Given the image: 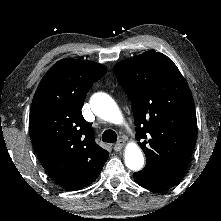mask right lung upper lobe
<instances>
[{
  "label": "right lung upper lobe",
  "instance_id": "1",
  "mask_svg": "<svg viewBox=\"0 0 221 221\" xmlns=\"http://www.w3.org/2000/svg\"><path fill=\"white\" fill-rule=\"evenodd\" d=\"M106 72L105 66L91 61L62 59L45 74L34 95L32 145L48 175L66 189L91 184L108 159L81 112L87 92Z\"/></svg>",
  "mask_w": 221,
  "mask_h": 221
}]
</instances>
